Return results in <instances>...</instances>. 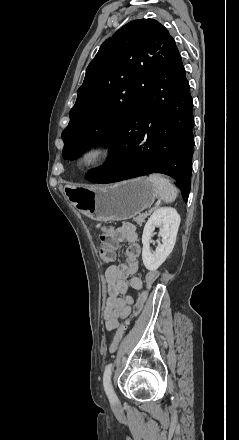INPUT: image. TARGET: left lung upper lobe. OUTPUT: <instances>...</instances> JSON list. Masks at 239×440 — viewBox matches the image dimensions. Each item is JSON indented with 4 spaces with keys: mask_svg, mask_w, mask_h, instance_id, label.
Here are the masks:
<instances>
[{
    "mask_svg": "<svg viewBox=\"0 0 239 440\" xmlns=\"http://www.w3.org/2000/svg\"><path fill=\"white\" fill-rule=\"evenodd\" d=\"M175 48L167 29L154 19L131 21L105 40L87 67L62 132L63 158L74 160L92 145H109Z\"/></svg>",
    "mask_w": 239,
    "mask_h": 440,
    "instance_id": "obj_1",
    "label": "left lung upper lobe"
}]
</instances>
